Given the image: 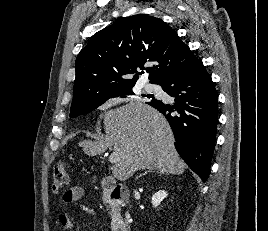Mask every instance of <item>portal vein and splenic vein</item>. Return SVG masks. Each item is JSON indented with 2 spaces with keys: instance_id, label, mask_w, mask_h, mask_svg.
Segmentation results:
<instances>
[{
  "instance_id": "1",
  "label": "portal vein and splenic vein",
  "mask_w": 268,
  "mask_h": 231,
  "mask_svg": "<svg viewBox=\"0 0 268 231\" xmlns=\"http://www.w3.org/2000/svg\"><path fill=\"white\" fill-rule=\"evenodd\" d=\"M118 161H119V158L117 157V155L112 153L109 157V162L113 164V163H116Z\"/></svg>"
}]
</instances>
